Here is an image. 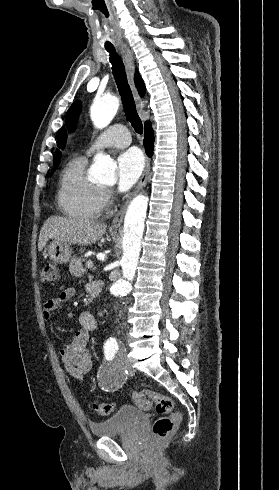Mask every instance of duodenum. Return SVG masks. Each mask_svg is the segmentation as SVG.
I'll return each mask as SVG.
<instances>
[{
	"mask_svg": "<svg viewBox=\"0 0 279 490\" xmlns=\"http://www.w3.org/2000/svg\"><path fill=\"white\" fill-rule=\"evenodd\" d=\"M101 283L100 282H95L93 284L90 285V288H89V294L92 296V297H96L97 295H99L100 291H101Z\"/></svg>",
	"mask_w": 279,
	"mask_h": 490,
	"instance_id": "duodenum-1",
	"label": "duodenum"
}]
</instances>
